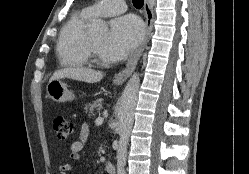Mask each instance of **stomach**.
<instances>
[{
	"label": "stomach",
	"instance_id": "1",
	"mask_svg": "<svg viewBox=\"0 0 249 174\" xmlns=\"http://www.w3.org/2000/svg\"><path fill=\"white\" fill-rule=\"evenodd\" d=\"M48 96L55 102L71 101L75 98V95L70 91L67 85L61 80L49 81L47 87Z\"/></svg>",
	"mask_w": 249,
	"mask_h": 174
}]
</instances>
